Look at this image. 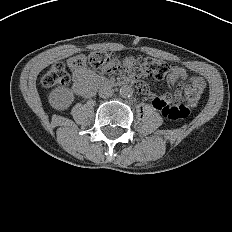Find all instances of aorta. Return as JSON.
Here are the masks:
<instances>
[{
	"mask_svg": "<svg viewBox=\"0 0 232 232\" xmlns=\"http://www.w3.org/2000/svg\"><path fill=\"white\" fill-rule=\"evenodd\" d=\"M119 93L123 98L130 97L133 95V88L129 85H123L121 86Z\"/></svg>",
	"mask_w": 232,
	"mask_h": 232,
	"instance_id": "obj_1",
	"label": "aorta"
}]
</instances>
